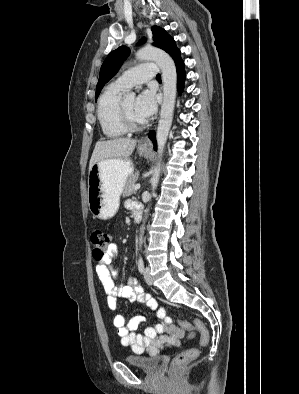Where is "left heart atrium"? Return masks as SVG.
<instances>
[{"label": "left heart atrium", "mask_w": 299, "mask_h": 394, "mask_svg": "<svg viewBox=\"0 0 299 394\" xmlns=\"http://www.w3.org/2000/svg\"><path fill=\"white\" fill-rule=\"evenodd\" d=\"M156 108L155 95L151 90L143 91L135 100L134 109L142 121L149 119L155 113Z\"/></svg>", "instance_id": "1"}]
</instances>
